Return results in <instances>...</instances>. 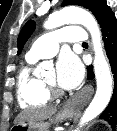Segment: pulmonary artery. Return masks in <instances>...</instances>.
<instances>
[{"mask_svg":"<svg viewBox=\"0 0 117 131\" xmlns=\"http://www.w3.org/2000/svg\"><path fill=\"white\" fill-rule=\"evenodd\" d=\"M88 35L80 26H68L39 37L26 54L27 59L38 60L53 57L62 42H87Z\"/></svg>","mask_w":117,"mask_h":131,"instance_id":"pulmonary-artery-1","label":"pulmonary artery"}]
</instances>
